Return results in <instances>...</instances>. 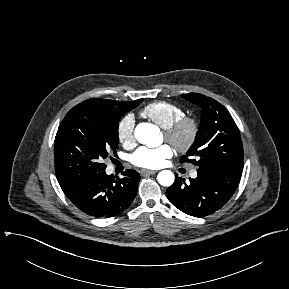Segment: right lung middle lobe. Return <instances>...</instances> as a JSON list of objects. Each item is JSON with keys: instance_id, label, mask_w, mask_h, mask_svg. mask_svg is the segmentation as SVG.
Listing matches in <instances>:
<instances>
[{"instance_id": "right-lung-middle-lobe-1", "label": "right lung middle lobe", "mask_w": 289, "mask_h": 289, "mask_svg": "<svg viewBox=\"0 0 289 289\" xmlns=\"http://www.w3.org/2000/svg\"><path fill=\"white\" fill-rule=\"evenodd\" d=\"M142 101L117 110L75 106L66 114L54 142L55 173L62 190L105 171L103 160L118 149V121Z\"/></svg>"}]
</instances>
